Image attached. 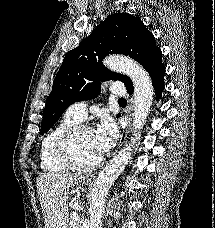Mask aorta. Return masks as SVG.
Masks as SVG:
<instances>
[{
  "instance_id": "aorta-1",
  "label": "aorta",
  "mask_w": 215,
  "mask_h": 228,
  "mask_svg": "<svg viewBox=\"0 0 215 228\" xmlns=\"http://www.w3.org/2000/svg\"><path fill=\"white\" fill-rule=\"evenodd\" d=\"M103 64L106 68H109V70H116V72L127 74L130 80H132L134 90L132 106L133 130L137 132V134H141V130H143L146 118L150 112L154 96V88L148 72H145L144 68H142L138 62L131 60V58H124V56H107V58L103 60ZM134 136H136V134H134ZM135 142V138H131L130 144H127L126 148L120 150L117 156H115V158L105 166L101 174H99L96 180L95 190L92 192L90 200V228H103L102 216L109 188H111L113 182L117 180L121 172L125 170L131 158V146H133Z\"/></svg>"
}]
</instances>
